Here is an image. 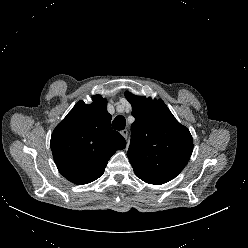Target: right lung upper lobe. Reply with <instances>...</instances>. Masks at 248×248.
I'll list each match as a JSON object with an SVG mask.
<instances>
[{
  "label": "right lung upper lobe",
  "instance_id": "1",
  "mask_svg": "<svg viewBox=\"0 0 248 248\" xmlns=\"http://www.w3.org/2000/svg\"><path fill=\"white\" fill-rule=\"evenodd\" d=\"M91 105L79 101L51 136V150L59 172L75 184L99 178L108 160L124 149L123 136L111 129L107 100L92 97Z\"/></svg>",
  "mask_w": 248,
  "mask_h": 248
}]
</instances>
